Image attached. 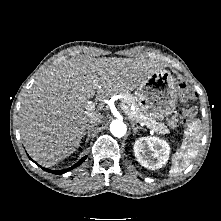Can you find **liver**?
Masks as SVG:
<instances>
[{
    "label": "liver",
    "instance_id": "6515ba94",
    "mask_svg": "<svg viewBox=\"0 0 221 221\" xmlns=\"http://www.w3.org/2000/svg\"><path fill=\"white\" fill-rule=\"evenodd\" d=\"M162 69L144 58H71L50 67L27 91L19 111L20 133L33 160L51 167L79 147L90 119L103 109L89 107L136 89ZM103 118V117H102Z\"/></svg>",
    "mask_w": 221,
    "mask_h": 221
}]
</instances>
